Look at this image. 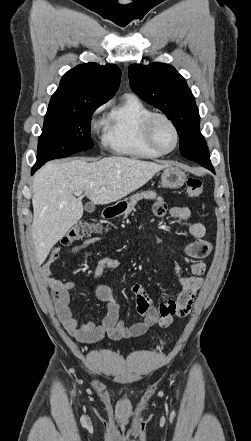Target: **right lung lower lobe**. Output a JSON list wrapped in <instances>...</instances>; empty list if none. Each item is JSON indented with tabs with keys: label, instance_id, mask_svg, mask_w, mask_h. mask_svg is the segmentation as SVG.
I'll list each match as a JSON object with an SVG mask.
<instances>
[{
	"label": "right lung lower lobe",
	"instance_id": "98d812e1",
	"mask_svg": "<svg viewBox=\"0 0 251 441\" xmlns=\"http://www.w3.org/2000/svg\"><path fill=\"white\" fill-rule=\"evenodd\" d=\"M47 161H38L36 162V164L33 166L32 168V172L31 174H33L38 168H40L42 165H44Z\"/></svg>",
	"mask_w": 251,
	"mask_h": 441
}]
</instances>
